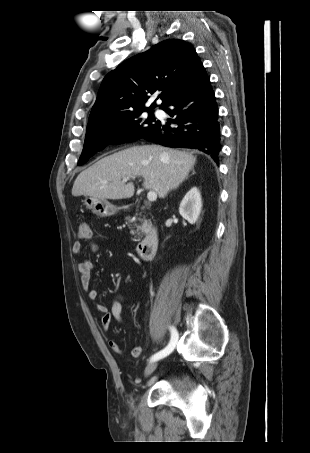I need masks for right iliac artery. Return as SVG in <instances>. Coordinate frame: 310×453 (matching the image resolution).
Wrapping results in <instances>:
<instances>
[{"instance_id": "82829eb1", "label": "right iliac artery", "mask_w": 310, "mask_h": 453, "mask_svg": "<svg viewBox=\"0 0 310 453\" xmlns=\"http://www.w3.org/2000/svg\"><path fill=\"white\" fill-rule=\"evenodd\" d=\"M170 330H171V340H170L169 344L161 351L152 355L150 358V361H157L161 358H164L174 350V347L178 340V332L174 327H171Z\"/></svg>"}]
</instances>
